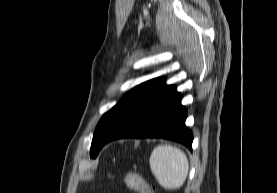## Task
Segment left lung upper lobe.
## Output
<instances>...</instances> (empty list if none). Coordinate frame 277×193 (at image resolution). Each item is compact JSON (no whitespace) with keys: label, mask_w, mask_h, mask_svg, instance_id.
Listing matches in <instances>:
<instances>
[{"label":"left lung upper lobe","mask_w":277,"mask_h":193,"mask_svg":"<svg viewBox=\"0 0 277 193\" xmlns=\"http://www.w3.org/2000/svg\"><path fill=\"white\" fill-rule=\"evenodd\" d=\"M164 79L163 78H155L152 80H149L147 82H144L134 89H132L130 92H128L121 101H119L110 111H108L106 114L103 115L101 120L99 121L94 135L93 140L91 144L90 149V157L96 158L101 146L100 142L105 134V132L109 129L113 121L132 103H134L136 100H138L140 97H142L144 94H146L149 91H152L159 85L163 84Z\"/></svg>","instance_id":"1"}]
</instances>
